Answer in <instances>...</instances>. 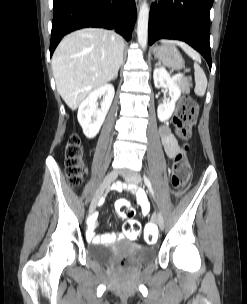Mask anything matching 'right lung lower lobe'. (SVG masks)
<instances>
[{
  "mask_svg": "<svg viewBox=\"0 0 247 304\" xmlns=\"http://www.w3.org/2000/svg\"><path fill=\"white\" fill-rule=\"evenodd\" d=\"M50 56L64 35L85 27L115 29L131 38L136 20L135 0H53Z\"/></svg>",
  "mask_w": 247,
  "mask_h": 304,
  "instance_id": "obj_1",
  "label": "right lung lower lobe"
}]
</instances>
